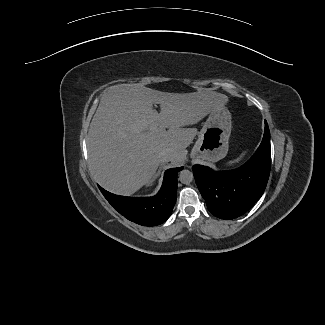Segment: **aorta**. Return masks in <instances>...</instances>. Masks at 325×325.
Returning <instances> with one entry per match:
<instances>
[{
	"label": "aorta",
	"mask_w": 325,
	"mask_h": 325,
	"mask_svg": "<svg viewBox=\"0 0 325 325\" xmlns=\"http://www.w3.org/2000/svg\"><path fill=\"white\" fill-rule=\"evenodd\" d=\"M193 178V173L189 170H182L179 174V180L183 184L191 183Z\"/></svg>",
	"instance_id": "1"
}]
</instances>
